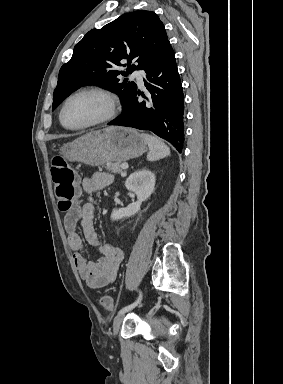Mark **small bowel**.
<instances>
[{
	"mask_svg": "<svg viewBox=\"0 0 283 384\" xmlns=\"http://www.w3.org/2000/svg\"><path fill=\"white\" fill-rule=\"evenodd\" d=\"M113 180L109 173L95 172L82 180V189L89 195L83 204L75 205L64 217V227L68 234V244L73 252V261L81 278L92 289L103 288L111 284L117 276L123 259V251L112 244L103 243L94 226V199L92 195L108 186ZM81 227L87 243L101 254L95 261L84 256V242L79 234Z\"/></svg>",
	"mask_w": 283,
	"mask_h": 384,
	"instance_id": "1",
	"label": "small bowel"
}]
</instances>
